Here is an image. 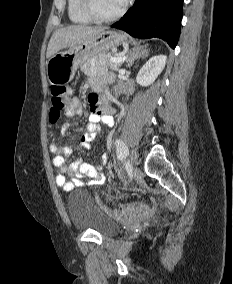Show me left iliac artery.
I'll return each mask as SVG.
<instances>
[{
    "label": "left iliac artery",
    "instance_id": "left-iliac-artery-1",
    "mask_svg": "<svg viewBox=\"0 0 233 284\" xmlns=\"http://www.w3.org/2000/svg\"><path fill=\"white\" fill-rule=\"evenodd\" d=\"M116 147H117V157L119 160H123L128 155V147L126 144L121 140H116Z\"/></svg>",
    "mask_w": 233,
    "mask_h": 284
}]
</instances>
